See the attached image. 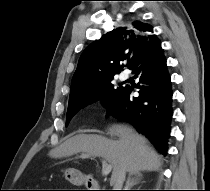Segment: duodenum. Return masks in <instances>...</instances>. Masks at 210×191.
Here are the masks:
<instances>
[{
    "instance_id": "1",
    "label": "duodenum",
    "mask_w": 210,
    "mask_h": 191,
    "mask_svg": "<svg viewBox=\"0 0 210 191\" xmlns=\"http://www.w3.org/2000/svg\"><path fill=\"white\" fill-rule=\"evenodd\" d=\"M88 182V184H87ZM85 183L86 185H88V187L91 189V190H96L95 188H98L99 187V183L95 180V179H86L85 180Z\"/></svg>"
}]
</instances>
